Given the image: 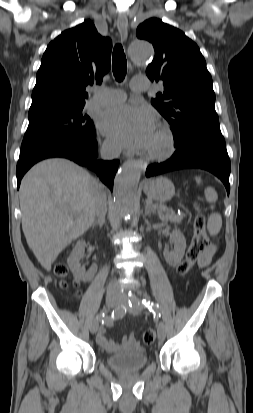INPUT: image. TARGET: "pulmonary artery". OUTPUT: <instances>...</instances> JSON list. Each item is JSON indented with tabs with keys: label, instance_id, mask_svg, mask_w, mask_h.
Listing matches in <instances>:
<instances>
[{
	"label": "pulmonary artery",
	"instance_id": "obj_1",
	"mask_svg": "<svg viewBox=\"0 0 253 413\" xmlns=\"http://www.w3.org/2000/svg\"><path fill=\"white\" fill-rule=\"evenodd\" d=\"M133 91H144L147 89L145 84L132 85ZM125 99V94L120 90L115 89H97L89 104L93 107H109L121 103Z\"/></svg>",
	"mask_w": 253,
	"mask_h": 413
}]
</instances>
